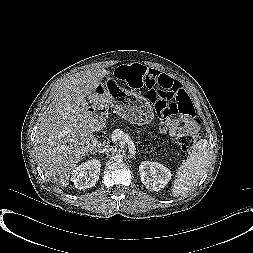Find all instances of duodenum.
Instances as JSON below:
<instances>
[{
    "mask_svg": "<svg viewBox=\"0 0 253 253\" xmlns=\"http://www.w3.org/2000/svg\"><path fill=\"white\" fill-rule=\"evenodd\" d=\"M90 123L93 126L103 127L106 118V110L102 107H92L88 112Z\"/></svg>",
    "mask_w": 253,
    "mask_h": 253,
    "instance_id": "410a0bca",
    "label": "duodenum"
}]
</instances>
